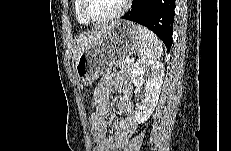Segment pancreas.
Masks as SVG:
<instances>
[{
  "instance_id": "obj_1",
  "label": "pancreas",
  "mask_w": 231,
  "mask_h": 151,
  "mask_svg": "<svg viewBox=\"0 0 231 151\" xmlns=\"http://www.w3.org/2000/svg\"><path fill=\"white\" fill-rule=\"evenodd\" d=\"M133 65V62L126 63L125 58H120L115 62V68H119L120 70L125 71L127 73H131Z\"/></svg>"
}]
</instances>
